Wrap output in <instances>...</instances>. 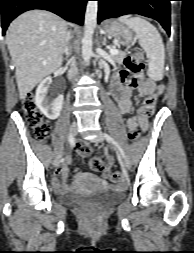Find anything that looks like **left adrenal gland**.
<instances>
[{
  "instance_id": "left-adrenal-gland-1",
  "label": "left adrenal gland",
  "mask_w": 194,
  "mask_h": 253,
  "mask_svg": "<svg viewBox=\"0 0 194 253\" xmlns=\"http://www.w3.org/2000/svg\"><path fill=\"white\" fill-rule=\"evenodd\" d=\"M102 44H103V45H105V44H106V39H104V40H103V43H102Z\"/></svg>"
}]
</instances>
